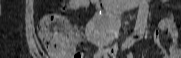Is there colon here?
<instances>
[{
	"label": "colon",
	"mask_w": 181,
	"mask_h": 58,
	"mask_svg": "<svg viewBox=\"0 0 181 58\" xmlns=\"http://www.w3.org/2000/svg\"><path fill=\"white\" fill-rule=\"evenodd\" d=\"M39 34L43 45L52 53L70 55L71 58H83V54L75 50L78 42L77 33L66 28V20L62 13L51 12L40 21Z\"/></svg>",
	"instance_id": "5ec220e1"
}]
</instances>
